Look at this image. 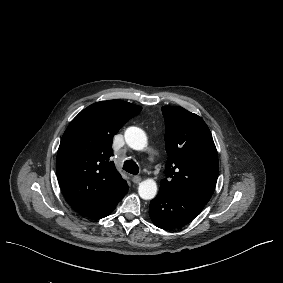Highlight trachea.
<instances>
[{
  "label": "trachea",
  "mask_w": 283,
  "mask_h": 283,
  "mask_svg": "<svg viewBox=\"0 0 283 283\" xmlns=\"http://www.w3.org/2000/svg\"><path fill=\"white\" fill-rule=\"evenodd\" d=\"M123 169L130 174L136 175L139 173V167L132 159L124 162Z\"/></svg>",
  "instance_id": "obj_1"
}]
</instances>
